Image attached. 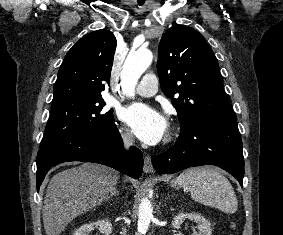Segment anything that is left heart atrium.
I'll list each match as a JSON object with an SVG mask.
<instances>
[{
    "label": "left heart atrium",
    "instance_id": "39dd6f15",
    "mask_svg": "<svg viewBox=\"0 0 283 235\" xmlns=\"http://www.w3.org/2000/svg\"><path fill=\"white\" fill-rule=\"evenodd\" d=\"M121 117L141 141L150 145L157 144L167 129L166 119L145 104L136 103L128 106L122 110Z\"/></svg>",
    "mask_w": 283,
    "mask_h": 235
}]
</instances>
